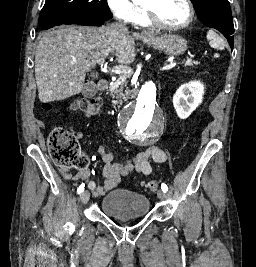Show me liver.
<instances>
[{
  "mask_svg": "<svg viewBox=\"0 0 256 267\" xmlns=\"http://www.w3.org/2000/svg\"><path fill=\"white\" fill-rule=\"evenodd\" d=\"M146 36H154L146 32ZM135 38L111 26H59L40 38L35 54V78L40 102L66 100L80 94L86 72L108 56L128 68L136 58ZM97 78L98 74H92Z\"/></svg>",
  "mask_w": 256,
  "mask_h": 267,
  "instance_id": "liver-1",
  "label": "liver"
}]
</instances>
